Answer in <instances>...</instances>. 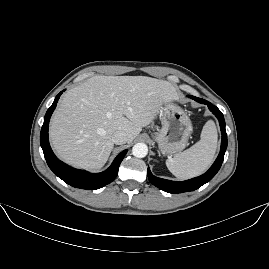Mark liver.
<instances>
[{
	"label": "liver",
	"mask_w": 269,
	"mask_h": 269,
	"mask_svg": "<svg viewBox=\"0 0 269 269\" xmlns=\"http://www.w3.org/2000/svg\"><path fill=\"white\" fill-rule=\"evenodd\" d=\"M168 81L147 76H101L68 90L59 102L49 128L57 156L90 171L107 162L117 130L128 143L149 125L163 102L178 100Z\"/></svg>",
	"instance_id": "6515ba94"
}]
</instances>
